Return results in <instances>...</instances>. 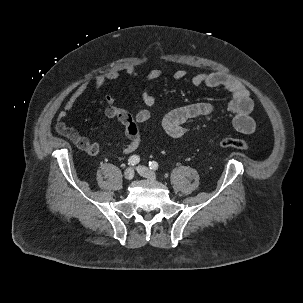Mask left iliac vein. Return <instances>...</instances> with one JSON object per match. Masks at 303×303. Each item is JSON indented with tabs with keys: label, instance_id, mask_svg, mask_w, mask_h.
I'll return each mask as SVG.
<instances>
[{
	"label": "left iliac vein",
	"instance_id": "obj_1",
	"mask_svg": "<svg viewBox=\"0 0 303 303\" xmlns=\"http://www.w3.org/2000/svg\"><path fill=\"white\" fill-rule=\"evenodd\" d=\"M136 169L141 176L152 181L156 180V174L153 171H151L149 168L145 166H138Z\"/></svg>",
	"mask_w": 303,
	"mask_h": 303
}]
</instances>
